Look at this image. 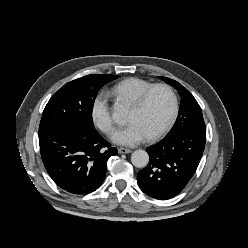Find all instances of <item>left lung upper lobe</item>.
<instances>
[{
	"label": "left lung upper lobe",
	"instance_id": "left-lung-upper-lobe-1",
	"mask_svg": "<svg viewBox=\"0 0 248 248\" xmlns=\"http://www.w3.org/2000/svg\"><path fill=\"white\" fill-rule=\"evenodd\" d=\"M160 78L177 89L181 96L178 117L166 136H170L181 130L190 129L206 132L201 108L193 95L177 81L162 76Z\"/></svg>",
	"mask_w": 248,
	"mask_h": 248
}]
</instances>
